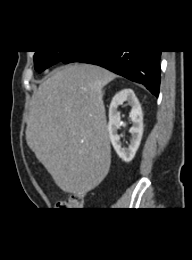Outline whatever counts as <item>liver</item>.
<instances>
[{"label":"liver","instance_id":"obj_1","mask_svg":"<svg viewBox=\"0 0 192 260\" xmlns=\"http://www.w3.org/2000/svg\"><path fill=\"white\" fill-rule=\"evenodd\" d=\"M116 78L87 63L62 67L34 94L26 141L64 192L82 195L109 172V142L102 89Z\"/></svg>","mask_w":192,"mask_h":260}]
</instances>
